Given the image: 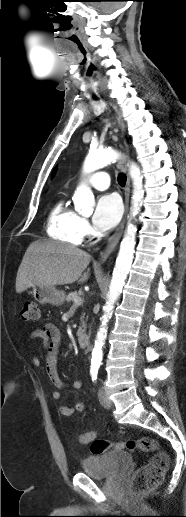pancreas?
I'll list each match as a JSON object with an SVG mask.
<instances>
[{"label": "pancreas", "mask_w": 186, "mask_h": 517, "mask_svg": "<svg viewBox=\"0 0 186 517\" xmlns=\"http://www.w3.org/2000/svg\"><path fill=\"white\" fill-rule=\"evenodd\" d=\"M75 298H80V294L77 293L76 291L75 292H70L67 296H66V301L67 302H73ZM85 329H86V324L83 320V317L81 318V327H80V331L81 332H85Z\"/></svg>", "instance_id": "cf45deb5"}]
</instances>
